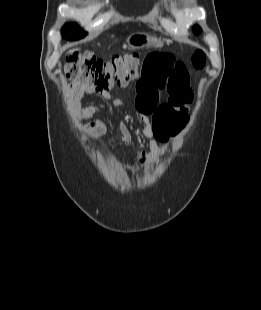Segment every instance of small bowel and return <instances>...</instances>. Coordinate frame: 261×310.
I'll list each match as a JSON object with an SVG mask.
<instances>
[{"instance_id":"1","label":"small bowel","mask_w":261,"mask_h":310,"mask_svg":"<svg viewBox=\"0 0 261 310\" xmlns=\"http://www.w3.org/2000/svg\"><path fill=\"white\" fill-rule=\"evenodd\" d=\"M136 90L137 109L143 124L142 133L145 137L152 139L150 152H153L159 141H165L170 136L179 133L187 122L189 105L193 100L187 69L183 63L176 61L168 53L149 54L144 60L142 77ZM93 91V88L86 85L72 87V92L76 97L82 94H91ZM162 91H167L169 98L168 102L159 105V95ZM101 95L112 106H122L119 100L111 99L108 92H101ZM96 112L95 107H83L79 109L78 114L83 119H90ZM105 131V124L95 120L89 124L85 133L88 138H97ZM120 132L122 143L128 144L131 135L125 123H121ZM146 155L147 152L140 153L136 157L137 161L143 164Z\"/></svg>"}]
</instances>
